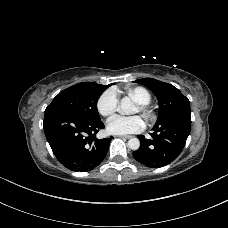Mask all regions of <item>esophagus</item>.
<instances>
[{
	"label": "esophagus",
	"mask_w": 228,
	"mask_h": 228,
	"mask_svg": "<svg viewBox=\"0 0 228 228\" xmlns=\"http://www.w3.org/2000/svg\"><path fill=\"white\" fill-rule=\"evenodd\" d=\"M119 138H123V139H130L132 136L131 135H119Z\"/></svg>",
	"instance_id": "1"
}]
</instances>
